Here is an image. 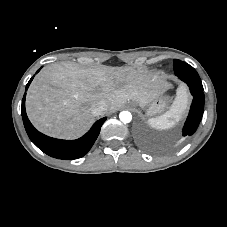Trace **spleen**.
<instances>
[{
  "label": "spleen",
  "instance_id": "obj_1",
  "mask_svg": "<svg viewBox=\"0 0 227 227\" xmlns=\"http://www.w3.org/2000/svg\"><path fill=\"white\" fill-rule=\"evenodd\" d=\"M186 108V97L184 94L178 95L173 102L169 111L161 116L151 118L148 124L159 130L172 128L178 121H180L182 114Z\"/></svg>",
  "mask_w": 227,
  "mask_h": 227
}]
</instances>
